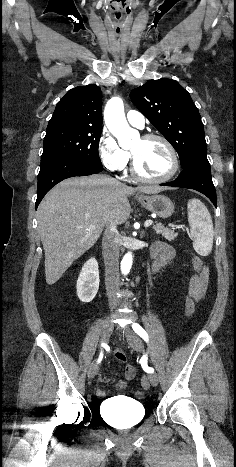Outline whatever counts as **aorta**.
I'll return each instance as SVG.
<instances>
[{
  "label": "aorta",
  "mask_w": 236,
  "mask_h": 467,
  "mask_svg": "<svg viewBox=\"0 0 236 467\" xmlns=\"http://www.w3.org/2000/svg\"><path fill=\"white\" fill-rule=\"evenodd\" d=\"M104 119L109 131L117 138L120 146H125V140L129 139L134 131L129 127L125 113L123 100L120 97L111 98L104 109ZM133 262L132 252H127L121 261V272L127 275Z\"/></svg>",
  "instance_id": "762f6f07"
}]
</instances>
